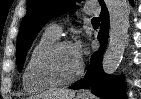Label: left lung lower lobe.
Wrapping results in <instances>:
<instances>
[{
  "label": "left lung lower lobe",
  "mask_w": 141,
  "mask_h": 99,
  "mask_svg": "<svg viewBox=\"0 0 141 99\" xmlns=\"http://www.w3.org/2000/svg\"><path fill=\"white\" fill-rule=\"evenodd\" d=\"M101 29L98 34V40L101 47L95 52L90 61L89 69L85 77L70 89L88 88L91 92L103 99H125L124 85L122 79L113 78L103 72L102 54L106 48L108 40L109 15L105 5L102 6Z\"/></svg>",
  "instance_id": "left-lung-lower-lobe-1"
}]
</instances>
